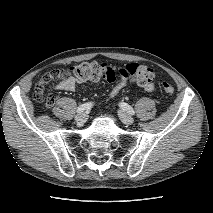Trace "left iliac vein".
<instances>
[{
  "instance_id": "4c4485c4",
  "label": "left iliac vein",
  "mask_w": 213,
  "mask_h": 213,
  "mask_svg": "<svg viewBox=\"0 0 213 213\" xmlns=\"http://www.w3.org/2000/svg\"><path fill=\"white\" fill-rule=\"evenodd\" d=\"M118 116L120 120L126 125H131L134 122V119L122 110L118 111Z\"/></svg>"
}]
</instances>
